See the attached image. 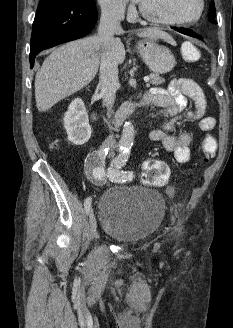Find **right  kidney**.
<instances>
[{
  "mask_svg": "<svg viewBox=\"0 0 233 328\" xmlns=\"http://www.w3.org/2000/svg\"><path fill=\"white\" fill-rule=\"evenodd\" d=\"M63 120L68 140L74 145H83L90 139L92 130L85 105L80 98L70 103Z\"/></svg>",
  "mask_w": 233,
  "mask_h": 328,
  "instance_id": "right-kidney-1",
  "label": "right kidney"
}]
</instances>
